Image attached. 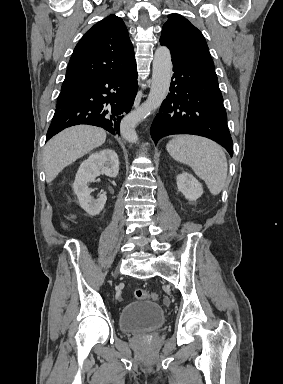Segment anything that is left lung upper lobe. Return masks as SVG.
<instances>
[{"label": "left lung upper lobe", "instance_id": "5c2ea615", "mask_svg": "<svg viewBox=\"0 0 283 384\" xmlns=\"http://www.w3.org/2000/svg\"><path fill=\"white\" fill-rule=\"evenodd\" d=\"M160 44L166 45L172 58L214 70V63L202 33L183 16L172 13L164 24Z\"/></svg>", "mask_w": 283, "mask_h": 384}]
</instances>
